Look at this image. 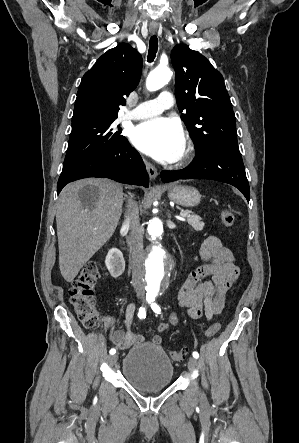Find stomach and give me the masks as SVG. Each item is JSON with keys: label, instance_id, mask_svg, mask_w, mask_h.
Listing matches in <instances>:
<instances>
[{"label": "stomach", "instance_id": "obj_1", "mask_svg": "<svg viewBox=\"0 0 299 443\" xmlns=\"http://www.w3.org/2000/svg\"><path fill=\"white\" fill-rule=\"evenodd\" d=\"M166 190L169 199L182 206L194 207L198 205L201 200L199 191L190 186L170 184L166 186Z\"/></svg>", "mask_w": 299, "mask_h": 443}]
</instances>
